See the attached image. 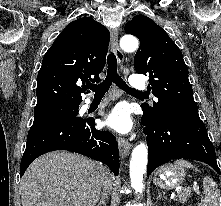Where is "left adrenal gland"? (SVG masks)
I'll use <instances>...</instances> for the list:
<instances>
[{"label":"left adrenal gland","instance_id":"left-adrenal-gland-1","mask_svg":"<svg viewBox=\"0 0 221 206\" xmlns=\"http://www.w3.org/2000/svg\"><path fill=\"white\" fill-rule=\"evenodd\" d=\"M162 198H164V196L162 195V193H161V192H159V193H158L157 200H160V199H162Z\"/></svg>","mask_w":221,"mask_h":206}]
</instances>
